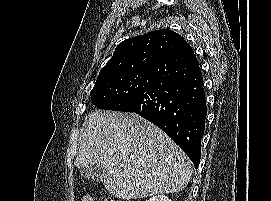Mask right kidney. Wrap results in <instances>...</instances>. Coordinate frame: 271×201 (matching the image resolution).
<instances>
[{"mask_svg": "<svg viewBox=\"0 0 271 201\" xmlns=\"http://www.w3.org/2000/svg\"><path fill=\"white\" fill-rule=\"evenodd\" d=\"M146 201H172V200L169 199L165 195H158V196H153L152 198H150L149 200H146Z\"/></svg>", "mask_w": 271, "mask_h": 201, "instance_id": "right-kidney-1", "label": "right kidney"}]
</instances>
